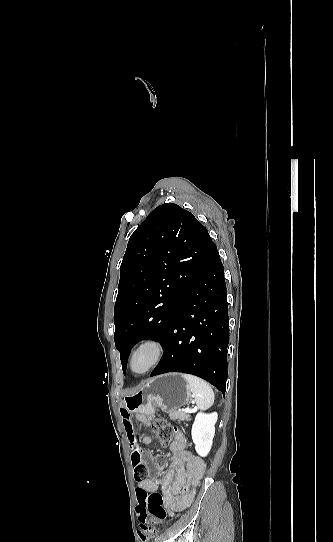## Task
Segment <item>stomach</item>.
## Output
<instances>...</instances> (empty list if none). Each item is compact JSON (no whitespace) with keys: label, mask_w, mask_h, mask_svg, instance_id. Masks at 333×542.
Instances as JSON below:
<instances>
[{"label":"stomach","mask_w":333,"mask_h":542,"mask_svg":"<svg viewBox=\"0 0 333 542\" xmlns=\"http://www.w3.org/2000/svg\"><path fill=\"white\" fill-rule=\"evenodd\" d=\"M191 398L189 386L181 374H163L148 380L147 384L135 392L124 396V406L131 414H141L153 420L156 408L171 412L186 406Z\"/></svg>","instance_id":"obj_1"}]
</instances>
